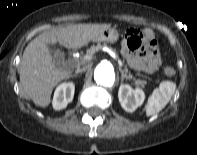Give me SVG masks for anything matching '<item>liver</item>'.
<instances>
[{
  "label": "liver",
  "instance_id": "obj_1",
  "mask_svg": "<svg viewBox=\"0 0 197 155\" xmlns=\"http://www.w3.org/2000/svg\"><path fill=\"white\" fill-rule=\"evenodd\" d=\"M107 28H110V24H75L54 28L34 38L25 48L20 63L19 75L23 93L35 105L48 106L54 87L71 75V71L64 65L55 66L48 45L59 42L68 49H78Z\"/></svg>",
  "mask_w": 197,
  "mask_h": 155
}]
</instances>
